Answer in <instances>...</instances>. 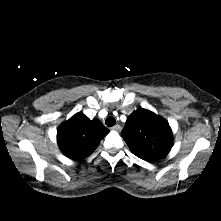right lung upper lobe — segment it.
Here are the masks:
<instances>
[{
    "label": "right lung upper lobe",
    "mask_w": 221,
    "mask_h": 221,
    "mask_svg": "<svg viewBox=\"0 0 221 221\" xmlns=\"http://www.w3.org/2000/svg\"><path fill=\"white\" fill-rule=\"evenodd\" d=\"M108 133L100 120H90L79 112L58 128L57 142L65 156L80 161L90 155Z\"/></svg>",
    "instance_id": "cb5924a9"
}]
</instances>
